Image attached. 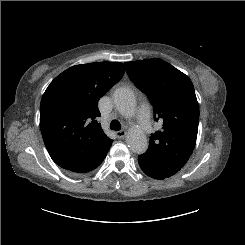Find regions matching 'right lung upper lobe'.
<instances>
[{
  "mask_svg": "<svg viewBox=\"0 0 245 245\" xmlns=\"http://www.w3.org/2000/svg\"><path fill=\"white\" fill-rule=\"evenodd\" d=\"M123 74L120 62L76 65L47 87L41 100L40 128L57 165L75 171L112 141L97 122L98 100Z\"/></svg>",
  "mask_w": 245,
  "mask_h": 245,
  "instance_id": "obj_1",
  "label": "right lung upper lobe"
}]
</instances>
